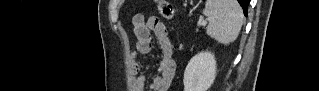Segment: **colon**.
<instances>
[{
    "mask_svg": "<svg viewBox=\"0 0 319 91\" xmlns=\"http://www.w3.org/2000/svg\"><path fill=\"white\" fill-rule=\"evenodd\" d=\"M158 8L162 17L171 20L174 16V7L169 1L159 0Z\"/></svg>",
    "mask_w": 319,
    "mask_h": 91,
    "instance_id": "obj_1",
    "label": "colon"
}]
</instances>
